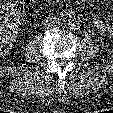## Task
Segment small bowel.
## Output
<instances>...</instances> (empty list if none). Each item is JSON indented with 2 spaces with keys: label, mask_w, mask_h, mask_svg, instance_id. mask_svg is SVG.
<instances>
[{
  "label": "small bowel",
  "mask_w": 113,
  "mask_h": 113,
  "mask_svg": "<svg viewBox=\"0 0 113 113\" xmlns=\"http://www.w3.org/2000/svg\"><path fill=\"white\" fill-rule=\"evenodd\" d=\"M20 15H18L19 18ZM93 24L95 27L103 34L108 37H113V25L105 23L99 17L93 19Z\"/></svg>",
  "instance_id": "1"
}]
</instances>
